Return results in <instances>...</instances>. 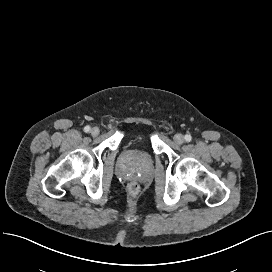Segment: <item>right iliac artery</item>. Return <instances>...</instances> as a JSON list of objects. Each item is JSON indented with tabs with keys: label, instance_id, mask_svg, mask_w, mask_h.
Listing matches in <instances>:
<instances>
[{
	"label": "right iliac artery",
	"instance_id": "1",
	"mask_svg": "<svg viewBox=\"0 0 272 272\" xmlns=\"http://www.w3.org/2000/svg\"><path fill=\"white\" fill-rule=\"evenodd\" d=\"M84 131H85V132H89V131H90V127H89V126H86V127L84 128Z\"/></svg>",
	"mask_w": 272,
	"mask_h": 272
}]
</instances>
